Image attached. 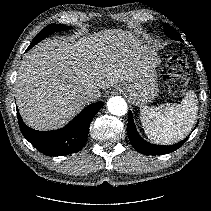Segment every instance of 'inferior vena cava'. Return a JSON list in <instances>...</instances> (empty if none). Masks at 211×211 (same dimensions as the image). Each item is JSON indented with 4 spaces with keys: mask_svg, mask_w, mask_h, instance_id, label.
<instances>
[{
    "mask_svg": "<svg viewBox=\"0 0 211 211\" xmlns=\"http://www.w3.org/2000/svg\"><path fill=\"white\" fill-rule=\"evenodd\" d=\"M99 98V94L96 93L95 91L93 90H88L84 93V100L87 102V103H90V102H95L97 101Z\"/></svg>",
    "mask_w": 211,
    "mask_h": 211,
    "instance_id": "obj_1",
    "label": "inferior vena cava"
}]
</instances>
